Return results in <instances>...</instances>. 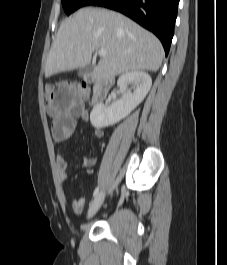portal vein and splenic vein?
Listing matches in <instances>:
<instances>
[{"label":"portal vein and splenic vein","instance_id":"portal-vein-and-splenic-vein-1","mask_svg":"<svg viewBox=\"0 0 227 265\" xmlns=\"http://www.w3.org/2000/svg\"><path fill=\"white\" fill-rule=\"evenodd\" d=\"M98 54H99V56H101V57H106L108 53H107L106 50L100 49V50L98 51Z\"/></svg>","mask_w":227,"mask_h":265}]
</instances>
